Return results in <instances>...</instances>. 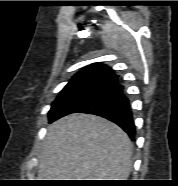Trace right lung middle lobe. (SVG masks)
Instances as JSON below:
<instances>
[{"instance_id":"dd1d6c3e","label":"right lung middle lobe","mask_w":178,"mask_h":186,"mask_svg":"<svg viewBox=\"0 0 178 186\" xmlns=\"http://www.w3.org/2000/svg\"><path fill=\"white\" fill-rule=\"evenodd\" d=\"M111 86L92 84L63 89L52 103L49 111V122H53L76 110L95 99Z\"/></svg>"}]
</instances>
